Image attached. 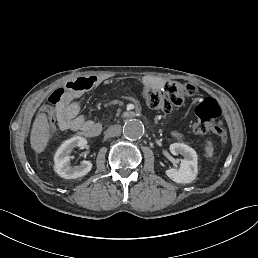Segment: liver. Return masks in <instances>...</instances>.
<instances>
[{
    "label": "liver",
    "instance_id": "liver-1",
    "mask_svg": "<svg viewBox=\"0 0 258 258\" xmlns=\"http://www.w3.org/2000/svg\"><path fill=\"white\" fill-rule=\"evenodd\" d=\"M49 123L45 113L38 114L33 123L30 136V144L33 150L41 153L47 146L50 138Z\"/></svg>",
    "mask_w": 258,
    "mask_h": 258
}]
</instances>
